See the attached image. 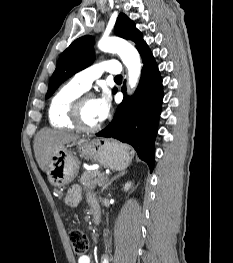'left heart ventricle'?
Returning <instances> with one entry per match:
<instances>
[{
    "label": "left heart ventricle",
    "instance_id": "obj_1",
    "mask_svg": "<svg viewBox=\"0 0 233 263\" xmlns=\"http://www.w3.org/2000/svg\"><path fill=\"white\" fill-rule=\"evenodd\" d=\"M82 119L85 125L95 126L99 124L95 114V99L88 97L84 103Z\"/></svg>",
    "mask_w": 233,
    "mask_h": 263
}]
</instances>
